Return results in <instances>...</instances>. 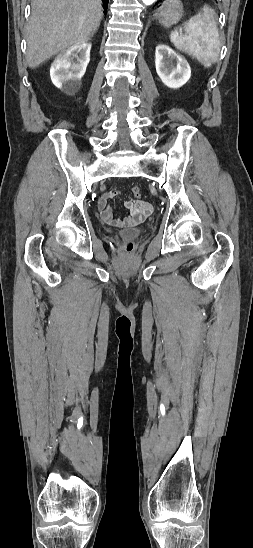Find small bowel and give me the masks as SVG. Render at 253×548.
<instances>
[{
  "instance_id": "1",
  "label": "small bowel",
  "mask_w": 253,
  "mask_h": 548,
  "mask_svg": "<svg viewBox=\"0 0 253 548\" xmlns=\"http://www.w3.org/2000/svg\"><path fill=\"white\" fill-rule=\"evenodd\" d=\"M118 194V190H109L98 200L99 214L106 224L116 227L135 226L143 222L152 213L153 205L150 202L128 199L124 204L128 210V216L125 218H114L109 200Z\"/></svg>"
}]
</instances>
